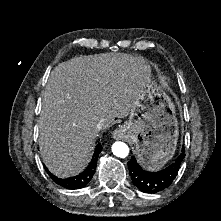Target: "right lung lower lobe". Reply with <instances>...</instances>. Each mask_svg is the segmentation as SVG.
<instances>
[{
    "mask_svg": "<svg viewBox=\"0 0 221 221\" xmlns=\"http://www.w3.org/2000/svg\"><path fill=\"white\" fill-rule=\"evenodd\" d=\"M102 148L103 147L100 144H97L93 158H92L89 166L81 174H79L77 176L70 177L67 179H61V178H58V177L54 176L53 174H51L47 170V168H46V171H47L48 175L51 177V179L62 187H65L67 189L83 188L89 183V181L91 180V178L95 172L96 165H97V159H98L99 153L102 151Z\"/></svg>",
    "mask_w": 221,
    "mask_h": 221,
    "instance_id": "right-lung-lower-lobe-1",
    "label": "right lung lower lobe"
}]
</instances>
